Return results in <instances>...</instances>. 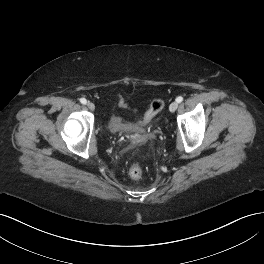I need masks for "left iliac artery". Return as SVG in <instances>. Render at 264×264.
I'll list each match as a JSON object with an SVG mask.
<instances>
[{
	"instance_id": "1",
	"label": "left iliac artery",
	"mask_w": 264,
	"mask_h": 264,
	"mask_svg": "<svg viewBox=\"0 0 264 264\" xmlns=\"http://www.w3.org/2000/svg\"><path fill=\"white\" fill-rule=\"evenodd\" d=\"M176 101H177L178 103H181V102L183 101V97H182V96L177 97Z\"/></svg>"
}]
</instances>
